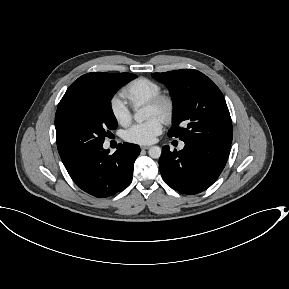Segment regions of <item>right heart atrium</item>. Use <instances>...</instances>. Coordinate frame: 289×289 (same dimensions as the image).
<instances>
[{
  "mask_svg": "<svg viewBox=\"0 0 289 289\" xmlns=\"http://www.w3.org/2000/svg\"><path fill=\"white\" fill-rule=\"evenodd\" d=\"M110 112L113 118L122 126H127L131 123L133 114L127 103L114 97L109 104Z\"/></svg>",
  "mask_w": 289,
  "mask_h": 289,
  "instance_id": "1",
  "label": "right heart atrium"
}]
</instances>
